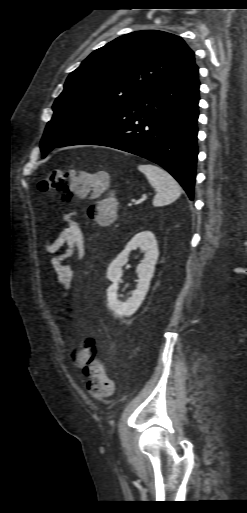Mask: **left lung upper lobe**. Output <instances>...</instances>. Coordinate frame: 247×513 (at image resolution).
Listing matches in <instances>:
<instances>
[{
	"label": "left lung upper lobe",
	"mask_w": 247,
	"mask_h": 513,
	"mask_svg": "<svg viewBox=\"0 0 247 513\" xmlns=\"http://www.w3.org/2000/svg\"><path fill=\"white\" fill-rule=\"evenodd\" d=\"M193 51L174 34L146 30L95 50L67 78L41 140L42 157L180 73Z\"/></svg>",
	"instance_id": "left-lung-upper-lobe-1"
}]
</instances>
